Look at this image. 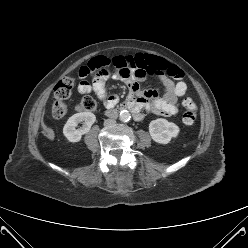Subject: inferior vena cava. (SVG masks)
<instances>
[{"instance_id":"1","label":"inferior vena cava","mask_w":248,"mask_h":248,"mask_svg":"<svg viewBox=\"0 0 248 248\" xmlns=\"http://www.w3.org/2000/svg\"><path fill=\"white\" fill-rule=\"evenodd\" d=\"M116 123V121L114 119H106L104 122L105 126H112Z\"/></svg>"}]
</instances>
